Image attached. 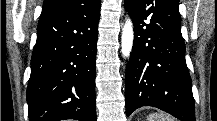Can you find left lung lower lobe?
<instances>
[{
    "instance_id": "1",
    "label": "left lung lower lobe",
    "mask_w": 217,
    "mask_h": 121,
    "mask_svg": "<svg viewBox=\"0 0 217 121\" xmlns=\"http://www.w3.org/2000/svg\"><path fill=\"white\" fill-rule=\"evenodd\" d=\"M178 7V0H125L134 25L125 81L127 116L153 106L179 120L195 121Z\"/></svg>"
}]
</instances>
